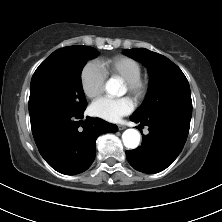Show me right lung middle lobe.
<instances>
[{"mask_svg":"<svg viewBox=\"0 0 222 222\" xmlns=\"http://www.w3.org/2000/svg\"><path fill=\"white\" fill-rule=\"evenodd\" d=\"M99 55L89 46L54 51L33 74L30 85V119L50 112L80 113L87 106L81 83L86 61Z\"/></svg>","mask_w":222,"mask_h":222,"instance_id":"1","label":"right lung middle lobe"}]
</instances>
